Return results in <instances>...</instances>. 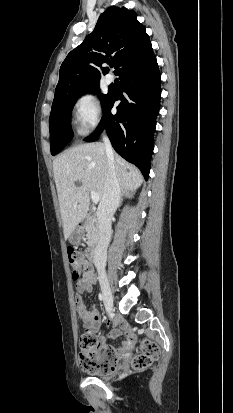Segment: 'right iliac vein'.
Here are the masks:
<instances>
[{
    "mask_svg": "<svg viewBox=\"0 0 233 413\" xmlns=\"http://www.w3.org/2000/svg\"><path fill=\"white\" fill-rule=\"evenodd\" d=\"M101 289L104 297V304L107 311H111L113 308V296L111 293L110 285L106 279H101Z\"/></svg>",
    "mask_w": 233,
    "mask_h": 413,
    "instance_id": "63e3f726",
    "label": "right iliac vein"
}]
</instances>
